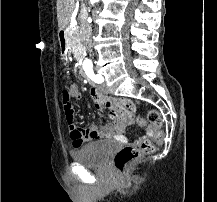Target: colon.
Here are the masks:
<instances>
[{
	"label": "colon",
	"instance_id": "5ec220e1",
	"mask_svg": "<svg viewBox=\"0 0 217 202\" xmlns=\"http://www.w3.org/2000/svg\"><path fill=\"white\" fill-rule=\"evenodd\" d=\"M57 96H61V105L65 114V121L69 128L73 127L74 117L70 108L71 90L68 86H64L61 91H57ZM147 118H137L136 122L139 126H149L150 123L162 127L161 116L158 111L150 110ZM150 122V123H149ZM164 137L163 133L155 134V142H162ZM153 141H145L141 148H135L132 146H124L113 159V164L117 170H119L120 177H125L126 167L134 161H138L143 155H150L155 151L156 143Z\"/></svg>",
	"mask_w": 217,
	"mask_h": 202
}]
</instances>
